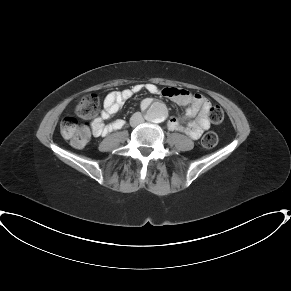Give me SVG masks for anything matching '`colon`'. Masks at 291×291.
<instances>
[{"mask_svg":"<svg viewBox=\"0 0 291 291\" xmlns=\"http://www.w3.org/2000/svg\"><path fill=\"white\" fill-rule=\"evenodd\" d=\"M99 107L100 100L97 95L84 96L76 106V115L86 122L80 123L77 118L66 117L61 122V135L69 140L73 146L84 147L91 139V125L88 121L97 114ZM208 115L215 124L221 123L224 119V112L220 106H213ZM217 142L218 137L214 132H208L202 138V145L208 149L214 147Z\"/></svg>","mask_w":291,"mask_h":291,"instance_id":"colon-1","label":"colon"}]
</instances>
